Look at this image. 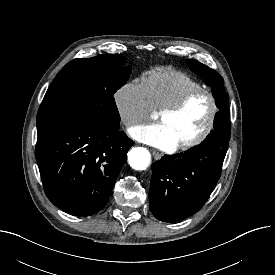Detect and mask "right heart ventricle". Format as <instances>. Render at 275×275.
I'll list each match as a JSON object with an SVG mask.
<instances>
[{"label":"right heart ventricle","mask_w":275,"mask_h":275,"mask_svg":"<svg viewBox=\"0 0 275 275\" xmlns=\"http://www.w3.org/2000/svg\"><path fill=\"white\" fill-rule=\"evenodd\" d=\"M143 83L154 110H160L177 101L188 91L202 87V84L189 74L169 68L150 71Z\"/></svg>","instance_id":"right-heart-ventricle-1"}]
</instances>
